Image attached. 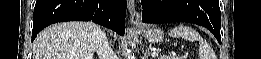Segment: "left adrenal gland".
Segmentation results:
<instances>
[{
	"mask_svg": "<svg viewBox=\"0 0 261 59\" xmlns=\"http://www.w3.org/2000/svg\"><path fill=\"white\" fill-rule=\"evenodd\" d=\"M150 56V51L149 49L146 51V53L144 54V59H147Z\"/></svg>",
	"mask_w": 261,
	"mask_h": 59,
	"instance_id": "obj_1",
	"label": "left adrenal gland"
}]
</instances>
